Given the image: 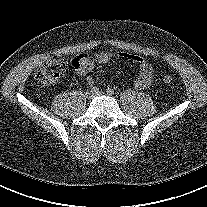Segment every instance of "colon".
Wrapping results in <instances>:
<instances>
[{"label":"colon","mask_w":207,"mask_h":207,"mask_svg":"<svg viewBox=\"0 0 207 207\" xmlns=\"http://www.w3.org/2000/svg\"><path fill=\"white\" fill-rule=\"evenodd\" d=\"M68 63L61 57L51 58L43 67L35 73V81L41 86H47L55 83L60 75L66 70ZM162 81L170 84L173 81L171 73L162 75Z\"/></svg>","instance_id":"5ec220e1"}]
</instances>
